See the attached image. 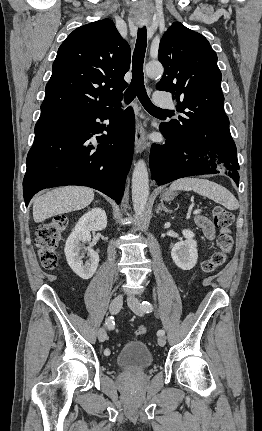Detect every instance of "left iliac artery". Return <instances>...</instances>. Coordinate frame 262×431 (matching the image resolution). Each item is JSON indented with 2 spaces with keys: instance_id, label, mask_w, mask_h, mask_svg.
<instances>
[{
  "instance_id": "1",
  "label": "left iliac artery",
  "mask_w": 262,
  "mask_h": 431,
  "mask_svg": "<svg viewBox=\"0 0 262 431\" xmlns=\"http://www.w3.org/2000/svg\"><path fill=\"white\" fill-rule=\"evenodd\" d=\"M141 308H142V310L144 311V312H150V311H152L153 310V306H152V304L150 303V302H148V301H142V303H141ZM157 335L158 336H163V335H165V331L164 330H159L158 332H157Z\"/></svg>"
}]
</instances>
